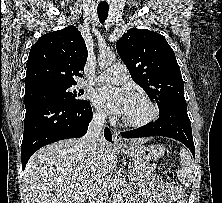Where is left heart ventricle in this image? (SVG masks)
<instances>
[{
	"label": "left heart ventricle",
	"mask_w": 222,
	"mask_h": 203,
	"mask_svg": "<svg viewBox=\"0 0 222 203\" xmlns=\"http://www.w3.org/2000/svg\"><path fill=\"white\" fill-rule=\"evenodd\" d=\"M150 112V107L143 100L131 97L123 117L128 120L139 121L148 117Z\"/></svg>",
	"instance_id": "obj_1"
}]
</instances>
